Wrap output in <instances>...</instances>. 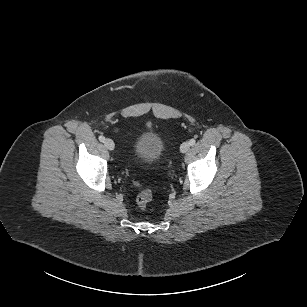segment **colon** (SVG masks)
Returning a JSON list of instances; mask_svg holds the SVG:
<instances>
[{"label":"colon","mask_w":307,"mask_h":307,"mask_svg":"<svg viewBox=\"0 0 307 307\" xmlns=\"http://www.w3.org/2000/svg\"><path fill=\"white\" fill-rule=\"evenodd\" d=\"M138 184V182H135ZM152 192L149 189L142 190L136 198V204L140 209H145L152 200Z\"/></svg>","instance_id":"colon-1"}]
</instances>
